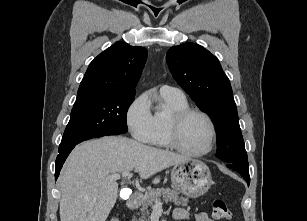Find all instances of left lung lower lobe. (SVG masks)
Listing matches in <instances>:
<instances>
[{"label": "left lung lower lobe", "mask_w": 307, "mask_h": 221, "mask_svg": "<svg viewBox=\"0 0 307 221\" xmlns=\"http://www.w3.org/2000/svg\"><path fill=\"white\" fill-rule=\"evenodd\" d=\"M227 167L236 170L240 175L245 179L247 184H250V176H249V169H244L240 166L233 165V164H228Z\"/></svg>", "instance_id": "left-lung-lower-lobe-1"}]
</instances>
